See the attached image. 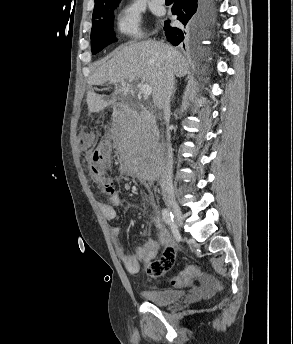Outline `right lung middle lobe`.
Returning <instances> with one entry per match:
<instances>
[{
  "label": "right lung middle lobe",
  "instance_id": "right-lung-middle-lobe-1",
  "mask_svg": "<svg viewBox=\"0 0 293 344\" xmlns=\"http://www.w3.org/2000/svg\"><path fill=\"white\" fill-rule=\"evenodd\" d=\"M118 2L93 11L91 47L92 53L100 52L110 43L116 41L113 33L114 10Z\"/></svg>",
  "mask_w": 293,
  "mask_h": 344
}]
</instances>
